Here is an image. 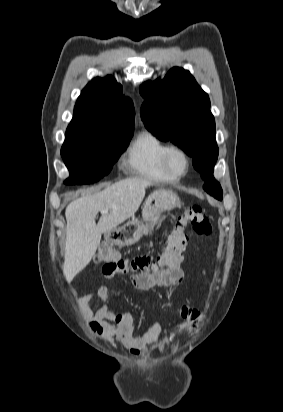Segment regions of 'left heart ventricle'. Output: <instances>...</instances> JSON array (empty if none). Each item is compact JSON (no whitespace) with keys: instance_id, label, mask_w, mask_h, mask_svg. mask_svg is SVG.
Masks as SVG:
<instances>
[{"instance_id":"1","label":"left heart ventricle","mask_w":283,"mask_h":412,"mask_svg":"<svg viewBox=\"0 0 283 412\" xmlns=\"http://www.w3.org/2000/svg\"><path fill=\"white\" fill-rule=\"evenodd\" d=\"M172 168L176 171H183L185 168V160L180 154H173L170 159Z\"/></svg>"}]
</instances>
